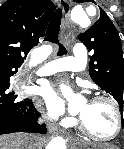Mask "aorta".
Here are the masks:
<instances>
[{
    "mask_svg": "<svg viewBox=\"0 0 124 149\" xmlns=\"http://www.w3.org/2000/svg\"><path fill=\"white\" fill-rule=\"evenodd\" d=\"M71 20L81 27L90 25V20L83 10H73L71 13ZM64 92L68 93V90L64 89ZM46 149H66L65 140L62 137H55L49 142Z\"/></svg>",
    "mask_w": 124,
    "mask_h": 149,
    "instance_id": "obj_1",
    "label": "aorta"
}]
</instances>
